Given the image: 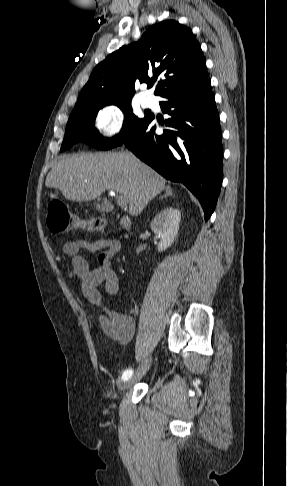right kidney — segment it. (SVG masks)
Segmentation results:
<instances>
[{"instance_id": "obj_1", "label": "right kidney", "mask_w": 287, "mask_h": 486, "mask_svg": "<svg viewBox=\"0 0 287 486\" xmlns=\"http://www.w3.org/2000/svg\"><path fill=\"white\" fill-rule=\"evenodd\" d=\"M181 213L178 209L167 207L161 210L151 222L152 231L161 237L158 251L169 248L178 235Z\"/></svg>"}]
</instances>
